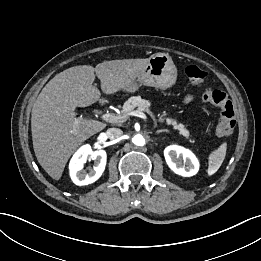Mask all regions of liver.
<instances>
[{
  "mask_svg": "<svg viewBox=\"0 0 261 261\" xmlns=\"http://www.w3.org/2000/svg\"><path fill=\"white\" fill-rule=\"evenodd\" d=\"M147 59L104 61L92 67L80 65L68 68L42 89L31 117L35 156L54 180H59L73 152L88 138L100 132L106 124L88 118H76V107H87L100 98L93 86L95 76L106 95L125 89L144 71Z\"/></svg>",
  "mask_w": 261,
  "mask_h": 261,
  "instance_id": "1",
  "label": "liver"
}]
</instances>
